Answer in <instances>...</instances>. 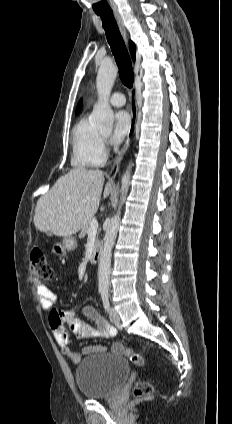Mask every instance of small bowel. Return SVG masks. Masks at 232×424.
Wrapping results in <instances>:
<instances>
[{"mask_svg":"<svg viewBox=\"0 0 232 424\" xmlns=\"http://www.w3.org/2000/svg\"><path fill=\"white\" fill-rule=\"evenodd\" d=\"M36 292L41 306L44 309H51L49 315V324L53 331L56 342L61 348L62 353L70 362L77 364L82 355L104 353L108 350L114 353H123L125 350L121 342H115L110 347L102 345H90L82 349L79 353L71 347L70 333L80 340L91 338H111L115 335V328L102 318V316L92 306H84L82 313L93 324L81 320L77 314V308L55 309L52 308L55 303V294L45 284L36 281ZM67 324V327L65 326Z\"/></svg>","mask_w":232,"mask_h":424,"instance_id":"1","label":"small bowel"}]
</instances>
